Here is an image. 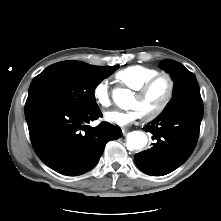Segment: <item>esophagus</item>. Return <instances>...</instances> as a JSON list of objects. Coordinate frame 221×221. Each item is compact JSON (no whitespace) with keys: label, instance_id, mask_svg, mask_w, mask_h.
<instances>
[{"label":"esophagus","instance_id":"obj_1","mask_svg":"<svg viewBox=\"0 0 221 221\" xmlns=\"http://www.w3.org/2000/svg\"><path fill=\"white\" fill-rule=\"evenodd\" d=\"M122 133H123V135H126V134L128 133V129L123 128V129H122Z\"/></svg>","mask_w":221,"mask_h":221}]
</instances>
